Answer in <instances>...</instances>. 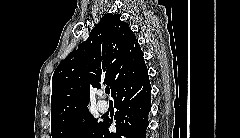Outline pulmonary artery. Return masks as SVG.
Masks as SVG:
<instances>
[{
	"mask_svg": "<svg viewBox=\"0 0 240 138\" xmlns=\"http://www.w3.org/2000/svg\"><path fill=\"white\" fill-rule=\"evenodd\" d=\"M97 92L100 96H103V91L102 90H98ZM97 108L101 112H106L108 110V103L104 100H100V101L97 102Z\"/></svg>",
	"mask_w": 240,
	"mask_h": 138,
	"instance_id": "obj_1",
	"label": "pulmonary artery"
}]
</instances>
